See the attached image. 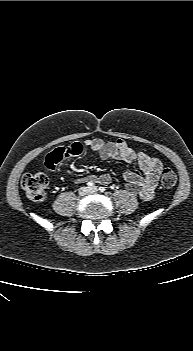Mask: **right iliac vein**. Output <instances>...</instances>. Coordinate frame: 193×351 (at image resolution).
Returning <instances> with one entry per match:
<instances>
[{
  "mask_svg": "<svg viewBox=\"0 0 193 351\" xmlns=\"http://www.w3.org/2000/svg\"><path fill=\"white\" fill-rule=\"evenodd\" d=\"M90 192V189L87 187H82L79 189V195L80 196H85Z\"/></svg>",
  "mask_w": 193,
  "mask_h": 351,
  "instance_id": "63e3f726",
  "label": "right iliac vein"
}]
</instances>
